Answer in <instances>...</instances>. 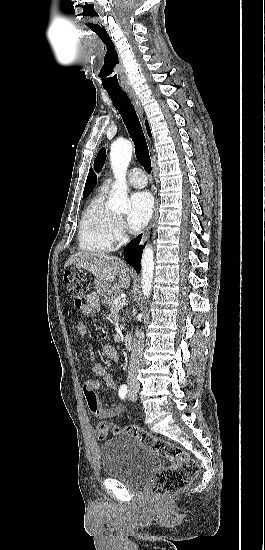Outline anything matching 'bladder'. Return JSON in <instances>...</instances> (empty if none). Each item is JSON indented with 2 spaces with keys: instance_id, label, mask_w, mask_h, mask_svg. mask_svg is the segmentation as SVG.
Returning a JSON list of instances; mask_svg holds the SVG:
<instances>
[{
  "instance_id": "bladder-1",
  "label": "bladder",
  "mask_w": 265,
  "mask_h": 550,
  "mask_svg": "<svg viewBox=\"0 0 265 550\" xmlns=\"http://www.w3.org/2000/svg\"><path fill=\"white\" fill-rule=\"evenodd\" d=\"M100 463L105 475L127 485L144 482L159 466V458L150 447L137 438L120 435L99 448Z\"/></svg>"
}]
</instances>
